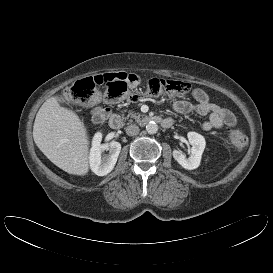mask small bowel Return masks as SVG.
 Returning <instances> with one entry per match:
<instances>
[{
    "label": "small bowel",
    "instance_id": "obj_1",
    "mask_svg": "<svg viewBox=\"0 0 273 273\" xmlns=\"http://www.w3.org/2000/svg\"><path fill=\"white\" fill-rule=\"evenodd\" d=\"M193 102L187 100H177L173 103V110L181 114L208 115V119L201 125L204 131L221 129L224 126L233 127L236 125L234 114L220 105L212 102L209 96L202 89H194L191 92ZM93 120L100 122L105 119L107 110L96 108L93 110Z\"/></svg>",
    "mask_w": 273,
    "mask_h": 273
}]
</instances>
